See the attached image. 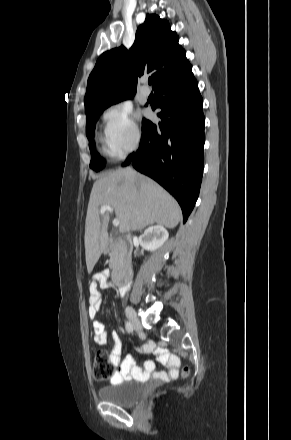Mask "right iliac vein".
<instances>
[{
  "label": "right iliac vein",
  "mask_w": 291,
  "mask_h": 440,
  "mask_svg": "<svg viewBox=\"0 0 291 440\" xmlns=\"http://www.w3.org/2000/svg\"><path fill=\"white\" fill-rule=\"evenodd\" d=\"M126 315L127 318L129 319L130 323L133 325V327L135 329H139L140 328V321L137 317L136 312L134 311V309L130 306H128L126 308Z\"/></svg>",
  "instance_id": "right-iliac-vein-1"
}]
</instances>
